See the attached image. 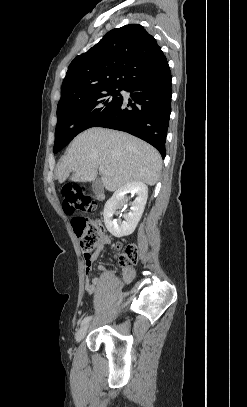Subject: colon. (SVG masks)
<instances>
[{"mask_svg": "<svg viewBox=\"0 0 247 407\" xmlns=\"http://www.w3.org/2000/svg\"><path fill=\"white\" fill-rule=\"evenodd\" d=\"M63 210L68 215L76 212H90L94 209V201L84 188L77 184L65 185L62 189ZM72 226L76 233L80 247L87 257L97 247L104 236V226L100 220H93L82 216L72 219ZM138 249L135 245H127L117 255L121 267L127 268L138 260Z\"/></svg>", "mask_w": 247, "mask_h": 407, "instance_id": "1", "label": "colon"}]
</instances>
